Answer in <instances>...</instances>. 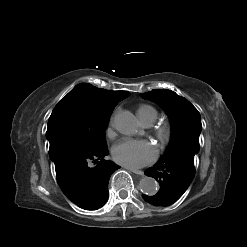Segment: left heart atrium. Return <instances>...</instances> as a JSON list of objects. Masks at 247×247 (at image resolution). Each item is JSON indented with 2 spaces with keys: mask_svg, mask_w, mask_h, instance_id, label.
<instances>
[{
  "mask_svg": "<svg viewBox=\"0 0 247 247\" xmlns=\"http://www.w3.org/2000/svg\"><path fill=\"white\" fill-rule=\"evenodd\" d=\"M156 148L146 140L123 139L112 148L113 159L124 166L139 168L152 162Z\"/></svg>",
  "mask_w": 247,
  "mask_h": 247,
  "instance_id": "1",
  "label": "left heart atrium"
}]
</instances>
